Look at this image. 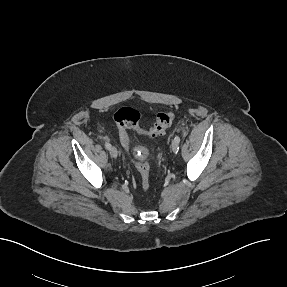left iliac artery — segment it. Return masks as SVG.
I'll return each mask as SVG.
<instances>
[{
    "label": "left iliac artery",
    "mask_w": 287,
    "mask_h": 287,
    "mask_svg": "<svg viewBox=\"0 0 287 287\" xmlns=\"http://www.w3.org/2000/svg\"><path fill=\"white\" fill-rule=\"evenodd\" d=\"M174 140L179 144L180 143V137L179 136H176L175 138H174Z\"/></svg>",
    "instance_id": "1"
}]
</instances>
